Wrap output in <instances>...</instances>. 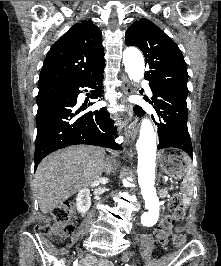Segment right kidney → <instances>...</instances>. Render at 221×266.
Segmentation results:
<instances>
[{
  "mask_svg": "<svg viewBox=\"0 0 221 266\" xmlns=\"http://www.w3.org/2000/svg\"><path fill=\"white\" fill-rule=\"evenodd\" d=\"M107 178H101L99 181L95 182L92 186L96 185L97 183H107ZM91 205V199H90V191L89 189H82L79 191L77 197H76V207L77 210L80 213H85L88 211Z\"/></svg>",
  "mask_w": 221,
  "mask_h": 266,
  "instance_id": "1",
  "label": "right kidney"
}]
</instances>
